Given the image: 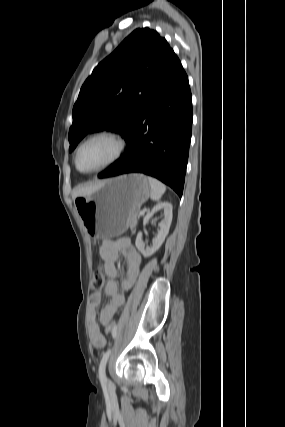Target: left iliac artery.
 I'll use <instances>...</instances> for the list:
<instances>
[{"instance_id":"1","label":"left iliac artery","mask_w":285,"mask_h":427,"mask_svg":"<svg viewBox=\"0 0 285 427\" xmlns=\"http://www.w3.org/2000/svg\"><path fill=\"white\" fill-rule=\"evenodd\" d=\"M113 338H116V334H113ZM111 353V349H108L104 354L103 357L101 359L100 365H99V379L101 383H106L107 382V377L105 374V366L107 363V360L109 358V355Z\"/></svg>"}]
</instances>
